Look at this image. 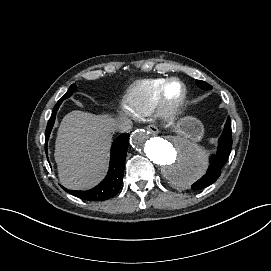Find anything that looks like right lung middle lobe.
<instances>
[{"label": "right lung middle lobe", "instance_id": "1", "mask_svg": "<svg viewBox=\"0 0 271 271\" xmlns=\"http://www.w3.org/2000/svg\"><path fill=\"white\" fill-rule=\"evenodd\" d=\"M76 90V85L75 84H72L69 88V90L66 92V94L58 101V103H62L63 100L69 98L73 92Z\"/></svg>", "mask_w": 271, "mask_h": 271}]
</instances>
